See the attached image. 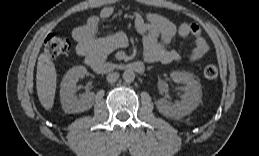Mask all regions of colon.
<instances>
[{"instance_id":"1","label":"colon","mask_w":259,"mask_h":156,"mask_svg":"<svg viewBox=\"0 0 259 156\" xmlns=\"http://www.w3.org/2000/svg\"><path fill=\"white\" fill-rule=\"evenodd\" d=\"M70 49V41L56 33H50L45 40V53L50 58L66 54ZM203 74L207 79H214L218 75V68L214 64L204 67Z\"/></svg>"}]
</instances>
